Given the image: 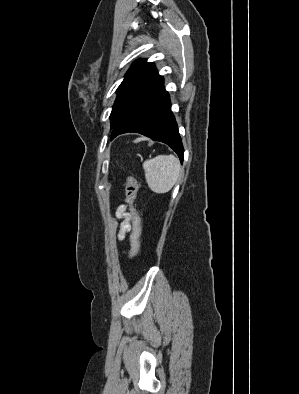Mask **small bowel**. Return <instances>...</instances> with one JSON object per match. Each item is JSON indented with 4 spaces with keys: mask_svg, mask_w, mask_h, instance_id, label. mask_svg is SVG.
Segmentation results:
<instances>
[{
    "mask_svg": "<svg viewBox=\"0 0 299 394\" xmlns=\"http://www.w3.org/2000/svg\"><path fill=\"white\" fill-rule=\"evenodd\" d=\"M116 216L121 219L120 231L118 233V240H124L127 233L132 230V218L127 210L126 205L122 204L117 208Z\"/></svg>",
    "mask_w": 299,
    "mask_h": 394,
    "instance_id": "obj_1",
    "label": "small bowel"
}]
</instances>
